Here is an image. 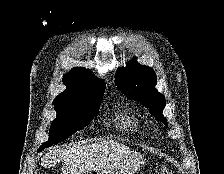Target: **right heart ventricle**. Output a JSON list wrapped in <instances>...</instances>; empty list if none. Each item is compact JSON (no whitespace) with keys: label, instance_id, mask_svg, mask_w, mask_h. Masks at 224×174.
<instances>
[{"label":"right heart ventricle","instance_id":"e07e8e85","mask_svg":"<svg viewBox=\"0 0 224 174\" xmlns=\"http://www.w3.org/2000/svg\"><path fill=\"white\" fill-rule=\"evenodd\" d=\"M118 124L125 130L136 131L140 128L139 121L133 115L130 114L123 115L120 118Z\"/></svg>","mask_w":224,"mask_h":174}]
</instances>
